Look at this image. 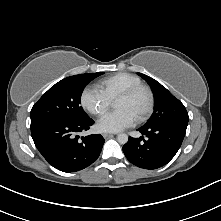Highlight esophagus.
<instances>
[{
	"mask_svg": "<svg viewBox=\"0 0 221 221\" xmlns=\"http://www.w3.org/2000/svg\"><path fill=\"white\" fill-rule=\"evenodd\" d=\"M102 135H103L104 138H108V137L113 136L112 133H103Z\"/></svg>",
	"mask_w": 221,
	"mask_h": 221,
	"instance_id": "1",
	"label": "esophagus"
}]
</instances>
